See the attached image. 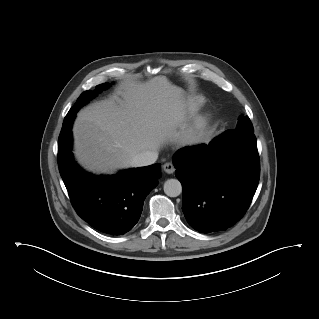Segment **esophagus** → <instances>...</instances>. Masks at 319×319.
<instances>
[{"label": "esophagus", "instance_id": "1", "mask_svg": "<svg viewBox=\"0 0 319 319\" xmlns=\"http://www.w3.org/2000/svg\"><path fill=\"white\" fill-rule=\"evenodd\" d=\"M163 170L167 173V174H173L175 171V167L171 162H167L163 165Z\"/></svg>", "mask_w": 319, "mask_h": 319}]
</instances>
